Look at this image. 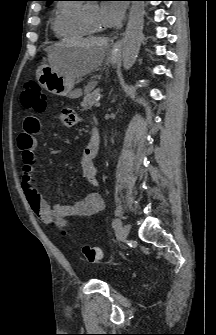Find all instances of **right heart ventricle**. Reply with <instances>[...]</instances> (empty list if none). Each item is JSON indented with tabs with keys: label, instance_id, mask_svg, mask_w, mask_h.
Wrapping results in <instances>:
<instances>
[{
	"label": "right heart ventricle",
	"instance_id": "e07e8e85",
	"mask_svg": "<svg viewBox=\"0 0 216 335\" xmlns=\"http://www.w3.org/2000/svg\"><path fill=\"white\" fill-rule=\"evenodd\" d=\"M81 11V5L77 3L63 2L57 5L51 27L58 38L77 39L90 34L82 21Z\"/></svg>",
	"mask_w": 216,
	"mask_h": 335
}]
</instances>
